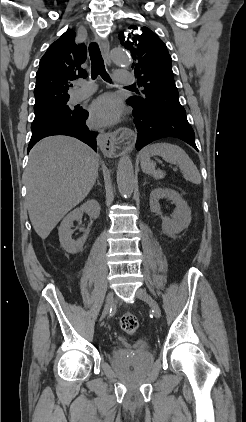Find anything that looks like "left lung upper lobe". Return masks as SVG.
Masks as SVG:
<instances>
[{"label":"left lung upper lobe","instance_id":"5c2ea615","mask_svg":"<svg viewBox=\"0 0 246 422\" xmlns=\"http://www.w3.org/2000/svg\"><path fill=\"white\" fill-rule=\"evenodd\" d=\"M121 44L134 59L138 86H143L142 96H132L127 103L145 111L186 114L179 102L171 67V57L163 41L149 28L130 26L119 34Z\"/></svg>","mask_w":246,"mask_h":422}]
</instances>
